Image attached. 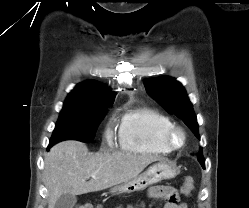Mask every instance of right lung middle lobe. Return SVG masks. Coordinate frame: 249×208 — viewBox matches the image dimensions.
<instances>
[{
  "mask_svg": "<svg viewBox=\"0 0 249 208\" xmlns=\"http://www.w3.org/2000/svg\"><path fill=\"white\" fill-rule=\"evenodd\" d=\"M106 113L104 108L72 106L63 107L55 125L48 148L63 140L90 142L98 124Z\"/></svg>",
  "mask_w": 249,
  "mask_h": 208,
  "instance_id": "obj_1",
  "label": "right lung middle lobe"
}]
</instances>
